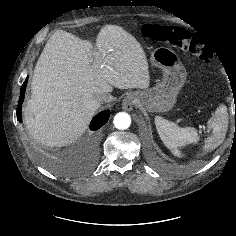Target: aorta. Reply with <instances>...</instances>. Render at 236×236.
Here are the masks:
<instances>
[{
    "label": "aorta",
    "mask_w": 236,
    "mask_h": 236,
    "mask_svg": "<svg viewBox=\"0 0 236 236\" xmlns=\"http://www.w3.org/2000/svg\"><path fill=\"white\" fill-rule=\"evenodd\" d=\"M114 126L119 130H125L130 127L131 117L126 112H119L114 116Z\"/></svg>",
    "instance_id": "1"
}]
</instances>
